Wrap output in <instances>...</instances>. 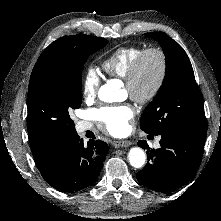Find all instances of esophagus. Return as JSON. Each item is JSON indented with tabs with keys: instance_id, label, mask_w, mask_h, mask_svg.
<instances>
[{
	"instance_id": "esophagus-1",
	"label": "esophagus",
	"mask_w": 221,
	"mask_h": 221,
	"mask_svg": "<svg viewBox=\"0 0 221 221\" xmlns=\"http://www.w3.org/2000/svg\"><path fill=\"white\" fill-rule=\"evenodd\" d=\"M112 145L115 148H119V147H128L131 145V142L128 140H115L113 141Z\"/></svg>"
}]
</instances>
